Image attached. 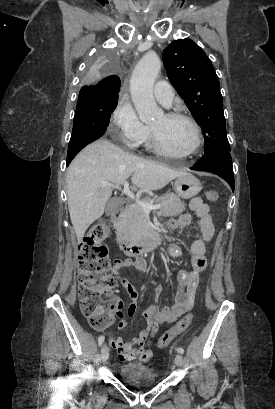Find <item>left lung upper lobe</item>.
<instances>
[{
    "label": "left lung upper lobe",
    "instance_id": "5c2ea615",
    "mask_svg": "<svg viewBox=\"0 0 275 409\" xmlns=\"http://www.w3.org/2000/svg\"><path fill=\"white\" fill-rule=\"evenodd\" d=\"M171 84L204 131V155L229 149L218 77L205 52L190 39L175 40L163 52Z\"/></svg>",
    "mask_w": 275,
    "mask_h": 409
}]
</instances>
